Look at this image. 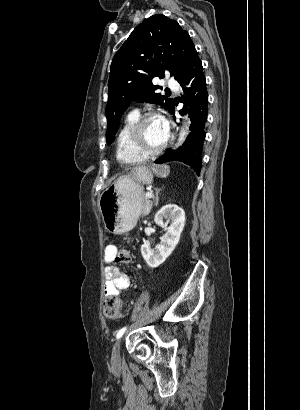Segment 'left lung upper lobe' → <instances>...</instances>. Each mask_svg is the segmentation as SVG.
Segmentation results:
<instances>
[{
  "label": "left lung upper lobe",
  "instance_id": "obj_1",
  "mask_svg": "<svg viewBox=\"0 0 300 410\" xmlns=\"http://www.w3.org/2000/svg\"><path fill=\"white\" fill-rule=\"evenodd\" d=\"M195 54L188 32L164 15H153L133 30L111 63L106 106L108 144L113 142L120 118L132 100L172 111L173 99L157 93L161 87L153 85L152 78H163L169 72L178 81Z\"/></svg>",
  "mask_w": 300,
  "mask_h": 410
}]
</instances>
